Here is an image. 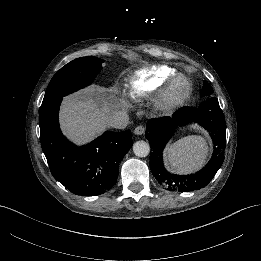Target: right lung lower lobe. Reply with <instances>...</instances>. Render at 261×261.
Returning a JSON list of instances; mask_svg holds the SVG:
<instances>
[{
    "instance_id": "obj_1",
    "label": "right lung lower lobe",
    "mask_w": 261,
    "mask_h": 261,
    "mask_svg": "<svg viewBox=\"0 0 261 261\" xmlns=\"http://www.w3.org/2000/svg\"><path fill=\"white\" fill-rule=\"evenodd\" d=\"M63 97L43 103L39 113L40 139L53 177L76 195L96 196L117 181L119 163L132 146L131 131H106L78 147L61 132L58 120Z\"/></svg>"
}]
</instances>
